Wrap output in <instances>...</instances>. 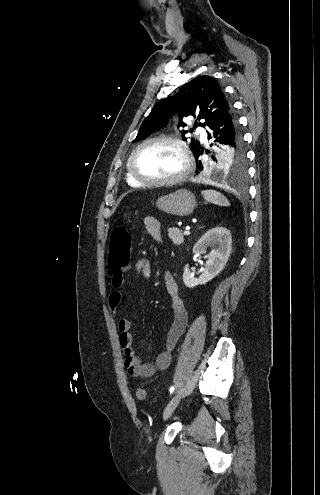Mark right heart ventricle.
<instances>
[{
	"mask_svg": "<svg viewBox=\"0 0 320 495\" xmlns=\"http://www.w3.org/2000/svg\"><path fill=\"white\" fill-rule=\"evenodd\" d=\"M125 176H126V181L127 183L132 186V187H140L142 186L141 184H139L138 182H136L132 177L131 175L129 174L128 172V168L126 166V173H125Z\"/></svg>",
	"mask_w": 320,
	"mask_h": 495,
	"instance_id": "e07e8e85",
	"label": "right heart ventricle"
}]
</instances>
